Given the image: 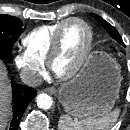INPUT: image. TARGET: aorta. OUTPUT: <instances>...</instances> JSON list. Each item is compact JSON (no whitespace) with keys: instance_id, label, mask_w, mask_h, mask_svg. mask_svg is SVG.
Instances as JSON below:
<instances>
[{"instance_id":"aorta-1","label":"aorta","mask_w":130,"mask_h":130,"mask_svg":"<svg viewBox=\"0 0 130 130\" xmlns=\"http://www.w3.org/2000/svg\"><path fill=\"white\" fill-rule=\"evenodd\" d=\"M37 106L43 110L50 109L53 103L52 98L46 93H41L36 98Z\"/></svg>"}]
</instances>
